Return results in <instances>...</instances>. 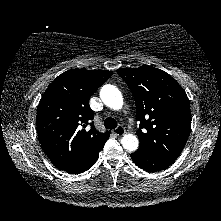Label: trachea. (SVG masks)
Wrapping results in <instances>:
<instances>
[{
    "label": "trachea",
    "mask_w": 221,
    "mask_h": 221,
    "mask_svg": "<svg viewBox=\"0 0 221 221\" xmlns=\"http://www.w3.org/2000/svg\"><path fill=\"white\" fill-rule=\"evenodd\" d=\"M104 126L107 129H115L117 127V121L113 118L108 117L104 120Z\"/></svg>",
    "instance_id": "3493384b"
}]
</instances>
